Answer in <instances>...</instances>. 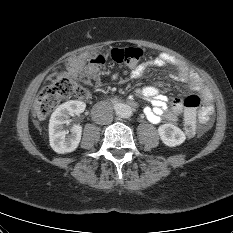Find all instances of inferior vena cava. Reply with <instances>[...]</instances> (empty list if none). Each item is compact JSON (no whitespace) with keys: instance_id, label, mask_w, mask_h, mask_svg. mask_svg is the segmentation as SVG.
I'll return each mask as SVG.
<instances>
[{"instance_id":"1","label":"inferior vena cava","mask_w":233,"mask_h":233,"mask_svg":"<svg viewBox=\"0 0 233 233\" xmlns=\"http://www.w3.org/2000/svg\"><path fill=\"white\" fill-rule=\"evenodd\" d=\"M92 118L98 124H110L113 121V108L106 102H99L92 110Z\"/></svg>"}]
</instances>
